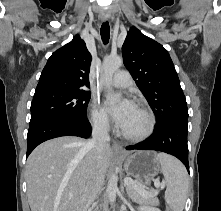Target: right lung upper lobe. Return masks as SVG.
Listing matches in <instances>:
<instances>
[{"mask_svg":"<svg viewBox=\"0 0 221 211\" xmlns=\"http://www.w3.org/2000/svg\"><path fill=\"white\" fill-rule=\"evenodd\" d=\"M91 60L85 42L76 35L50 56L35 92L50 89L83 90L89 86Z\"/></svg>","mask_w":221,"mask_h":211,"instance_id":"cb5924a9","label":"right lung upper lobe"}]
</instances>
